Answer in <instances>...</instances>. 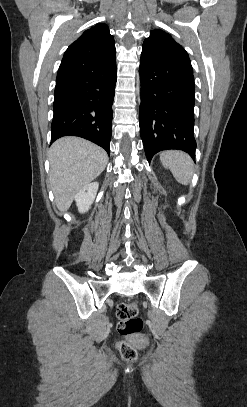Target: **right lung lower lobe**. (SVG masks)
Wrapping results in <instances>:
<instances>
[{"instance_id": "obj_1", "label": "right lung lower lobe", "mask_w": 247, "mask_h": 407, "mask_svg": "<svg viewBox=\"0 0 247 407\" xmlns=\"http://www.w3.org/2000/svg\"><path fill=\"white\" fill-rule=\"evenodd\" d=\"M116 75L115 59L76 83L55 89L51 143L62 136H79L110 154Z\"/></svg>"}]
</instances>
